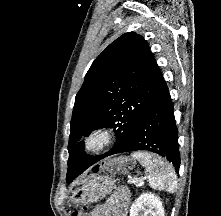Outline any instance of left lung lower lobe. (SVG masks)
Listing matches in <instances>:
<instances>
[{"instance_id": "obj_1", "label": "left lung lower lobe", "mask_w": 221, "mask_h": 216, "mask_svg": "<svg viewBox=\"0 0 221 216\" xmlns=\"http://www.w3.org/2000/svg\"><path fill=\"white\" fill-rule=\"evenodd\" d=\"M138 150L162 155L173 163L177 171L179 170L178 130L173 115L172 100L160 70L156 77L151 104L136 126L131 140L125 146L117 150L112 149L100 156H90L84 152V167L81 173L107 156Z\"/></svg>"}]
</instances>
